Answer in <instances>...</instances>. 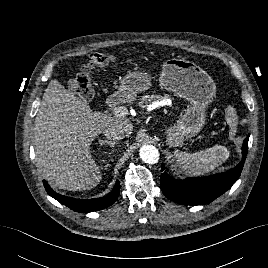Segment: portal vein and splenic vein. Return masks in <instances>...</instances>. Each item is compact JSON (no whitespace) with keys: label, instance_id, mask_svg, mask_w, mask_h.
<instances>
[{"label":"portal vein and splenic vein","instance_id":"portal-vein-and-splenic-vein-1","mask_svg":"<svg viewBox=\"0 0 268 268\" xmlns=\"http://www.w3.org/2000/svg\"><path fill=\"white\" fill-rule=\"evenodd\" d=\"M113 113L115 116L124 117V116L128 115L129 111L124 106H118V107H115L113 109Z\"/></svg>","mask_w":268,"mask_h":268}]
</instances>
